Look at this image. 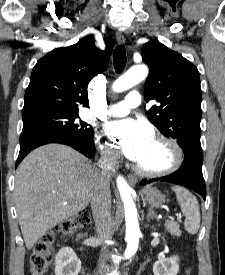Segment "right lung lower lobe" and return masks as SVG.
Here are the masks:
<instances>
[{"label":"right lung lower lobe","instance_id":"1","mask_svg":"<svg viewBox=\"0 0 225 275\" xmlns=\"http://www.w3.org/2000/svg\"><path fill=\"white\" fill-rule=\"evenodd\" d=\"M48 143H60L71 146L88 158L93 157L95 154L93 139H79L69 134L50 129H27L22 130L20 136V152L16 161V167L30 151Z\"/></svg>","mask_w":225,"mask_h":275}]
</instances>
